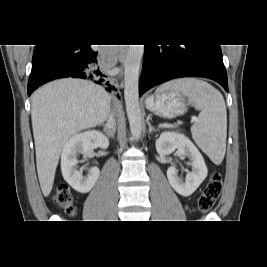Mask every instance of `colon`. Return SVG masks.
I'll list each match as a JSON object with an SVG mask.
<instances>
[{"label":"colon","instance_id":"obj_1","mask_svg":"<svg viewBox=\"0 0 267 267\" xmlns=\"http://www.w3.org/2000/svg\"><path fill=\"white\" fill-rule=\"evenodd\" d=\"M222 185L223 180L221 174L213 172L209 177L207 185L198 198L199 211L207 213L213 208L220 196ZM54 202L57 207L64 210L67 214L73 215L75 213L74 197L67 185L62 184L58 186L54 195Z\"/></svg>","mask_w":267,"mask_h":267}]
</instances>
